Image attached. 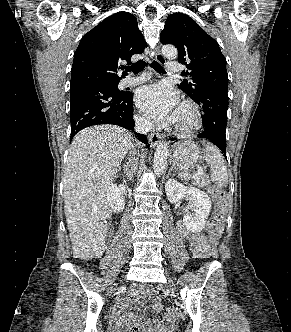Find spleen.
I'll list each match as a JSON object with an SVG mask.
<instances>
[{"instance_id":"3e777b00","label":"spleen","mask_w":291,"mask_h":332,"mask_svg":"<svg viewBox=\"0 0 291 332\" xmlns=\"http://www.w3.org/2000/svg\"><path fill=\"white\" fill-rule=\"evenodd\" d=\"M204 152V159L210 165L212 181L218 186H226L228 184V173L222 154L209 143L205 144ZM179 176L184 180L190 178V175L185 171L180 172Z\"/></svg>"}]
</instances>
